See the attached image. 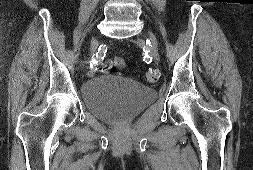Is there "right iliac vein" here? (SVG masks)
<instances>
[{
    "label": "right iliac vein",
    "instance_id": "right-iliac-vein-1",
    "mask_svg": "<svg viewBox=\"0 0 253 170\" xmlns=\"http://www.w3.org/2000/svg\"><path fill=\"white\" fill-rule=\"evenodd\" d=\"M96 46H97V40L92 39V41H91V54H93L96 51Z\"/></svg>",
    "mask_w": 253,
    "mask_h": 170
}]
</instances>
